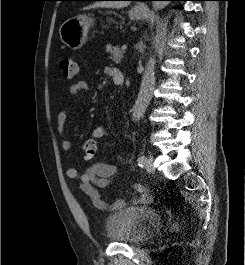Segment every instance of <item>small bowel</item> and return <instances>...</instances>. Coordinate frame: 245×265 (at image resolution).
<instances>
[{
    "label": "small bowel",
    "mask_w": 245,
    "mask_h": 265,
    "mask_svg": "<svg viewBox=\"0 0 245 265\" xmlns=\"http://www.w3.org/2000/svg\"><path fill=\"white\" fill-rule=\"evenodd\" d=\"M105 73L115 82L118 78L124 77L123 73L114 67L108 66L105 68ZM90 90L89 84L84 80L76 81L70 88V93L73 96H78L83 92ZM71 108H66L57 115L56 126L60 134H63L68 112ZM107 130L104 126H96L91 132V139L96 143L97 140L106 136ZM61 146L64 150H70L72 143L70 140L63 138ZM67 177L78 181L79 189L87 195L93 206L104 211H118L125 206L123 199H116L111 204L105 202L101 198L100 190L110 187L115 180L120 176L117 167L113 164L105 162H95L84 171L80 172L74 167H69L66 170ZM133 189L138 193V196L133 199V202L139 204H148L152 202L153 197L149 190L142 184H133Z\"/></svg>",
    "instance_id": "small-bowel-1"
}]
</instances>
